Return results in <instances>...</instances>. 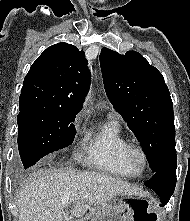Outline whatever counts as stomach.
Masks as SVG:
<instances>
[{
    "mask_svg": "<svg viewBox=\"0 0 190 221\" xmlns=\"http://www.w3.org/2000/svg\"><path fill=\"white\" fill-rule=\"evenodd\" d=\"M157 213L158 208H152L149 200H118V204H105L97 208L91 221H158V218H152L157 217Z\"/></svg>",
    "mask_w": 190,
    "mask_h": 221,
    "instance_id": "stomach-1",
    "label": "stomach"
}]
</instances>
